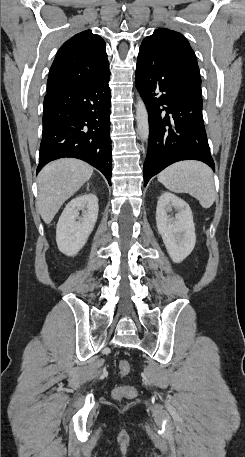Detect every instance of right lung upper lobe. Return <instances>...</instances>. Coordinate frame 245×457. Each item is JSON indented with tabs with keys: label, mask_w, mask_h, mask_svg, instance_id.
Returning a JSON list of instances; mask_svg holds the SVG:
<instances>
[{
	"label": "right lung upper lobe",
	"mask_w": 245,
	"mask_h": 457,
	"mask_svg": "<svg viewBox=\"0 0 245 457\" xmlns=\"http://www.w3.org/2000/svg\"><path fill=\"white\" fill-rule=\"evenodd\" d=\"M104 40L91 30L82 31L66 41L51 66L47 92L69 83L109 73Z\"/></svg>",
	"instance_id": "1"
}]
</instances>
